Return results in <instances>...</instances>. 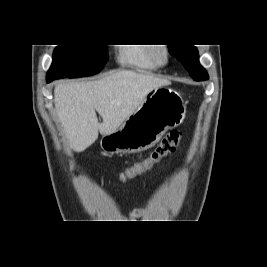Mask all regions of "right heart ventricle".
<instances>
[{"instance_id":"e07e8e85","label":"right heart ventricle","mask_w":267,"mask_h":267,"mask_svg":"<svg viewBox=\"0 0 267 267\" xmlns=\"http://www.w3.org/2000/svg\"><path fill=\"white\" fill-rule=\"evenodd\" d=\"M152 46L127 45L119 46L117 62L122 66L134 68L138 71H154L158 65L152 58Z\"/></svg>"}]
</instances>
